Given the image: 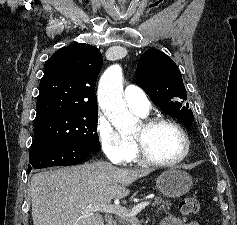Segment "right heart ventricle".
<instances>
[{
  "instance_id": "obj_1",
  "label": "right heart ventricle",
  "mask_w": 237,
  "mask_h": 225,
  "mask_svg": "<svg viewBox=\"0 0 237 225\" xmlns=\"http://www.w3.org/2000/svg\"><path fill=\"white\" fill-rule=\"evenodd\" d=\"M132 159H135V156H133ZM132 159H131V160H132Z\"/></svg>"
}]
</instances>
